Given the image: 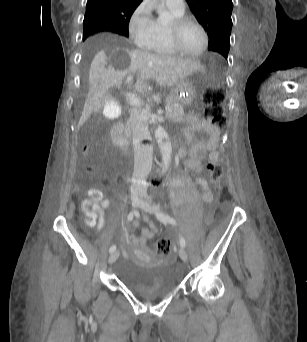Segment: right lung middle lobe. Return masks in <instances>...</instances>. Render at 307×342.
Wrapping results in <instances>:
<instances>
[{
  "instance_id": "obj_1",
  "label": "right lung middle lobe",
  "mask_w": 307,
  "mask_h": 342,
  "mask_svg": "<svg viewBox=\"0 0 307 342\" xmlns=\"http://www.w3.org/2000/svg\"><path fill=\"white\" fill-rule=\"evenodd\" d=\"M84 33H83V40H85L88 36L101 31H114L120 35L128 36V31H121V30H110L104 24H102L99 18L92 14H85L84 17Z\"/></svg>"
}]
</instances>
